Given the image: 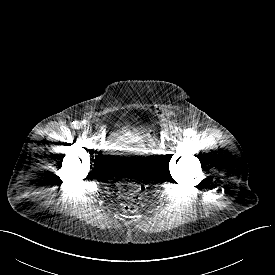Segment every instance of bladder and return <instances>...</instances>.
<instances>
[{"label":"bladder","mask_w":275,"mask_h":275,"mask_svg":"<svg viewBox=\"0 0 275 275\" xmlns=\"http://www.w3.org/2000/svg\"><path fill=\"white\" fill-rule=\"evenodd\" d=\"M106 165L122 178H143L151 173L154 158L148 150V138L140 130H116L108 137Z\"/></svg>","instance_id":"31cf9c89"}]
</instances>
